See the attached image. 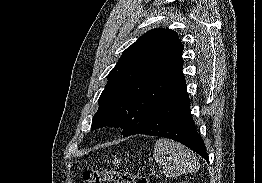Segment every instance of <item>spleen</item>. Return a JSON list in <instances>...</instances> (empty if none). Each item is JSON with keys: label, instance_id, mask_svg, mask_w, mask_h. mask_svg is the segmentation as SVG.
<instances>
[{"label": "spleen", "instance_id": "3e777b00", "mask_svg": "<svg viewBox=\"0 0 262 183\" xmlns=\"http://www.w3.org/2000/svg\"><path fill=\"white\" fill-rule=\"evenodd\" d=\"M153 157L163 167L164 174L173 178L198 169V160L188 148L169 139L155 142Z\"/></svg>", "mask_w": 262, "mask_h": 183}]
</instances>
